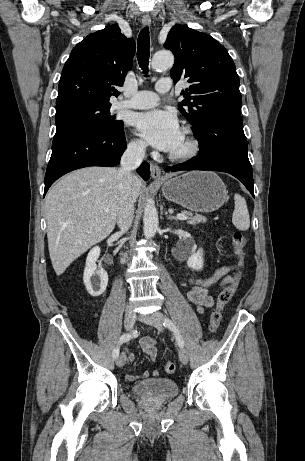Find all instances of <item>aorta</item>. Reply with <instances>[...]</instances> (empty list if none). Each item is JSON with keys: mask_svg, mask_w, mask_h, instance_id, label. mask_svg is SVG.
I'll return each mask as SVG.
<instances>
[{"mask_svg": "<svg viewBox=\"0 0 305 461\" xmlns=\"http://www.w3.org/2000/svg\"><path fill=\"white\" fill-rule=\"evenodd\" d=\"M174 64V56L168 51H160L154 54L152 59V68L155 70L167 69L172 67ZM158 213L151 199L147 200L144 206V236L146 239L154 237L158 229Z\"/></svg>", "mask_w": 305, "mask_h": 461, "instance_id": "obj_1", "label": "aorta"}]
</instances>
